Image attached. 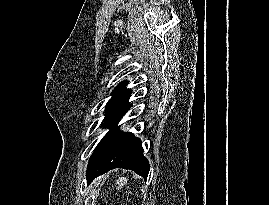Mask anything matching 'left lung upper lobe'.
Listing matches in <instances>:
<instances>
[{
	"label": "left lung upper lobe",
	"instance_id": "1",
	"mask_svg": "<svg viewBox=\"0 0 269 205\" xmlns=\"http://www.w3.org/2000/svg\"><path fill=\"white\" fill-rule=\"evenodd\" d=\"M127 83V81L119 83L112 92V97L106 105V114L102 126L130 105L128 99L131 95V90L126 88Z\"/></svg>",
	"mask_w": 269,
	"mask_h": 205
}]
</instances>
